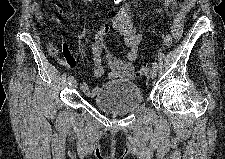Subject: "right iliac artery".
I'll list each match as a JSON object with an SVG mask.
<instances>
[{
    "mask_svg": "<svg viewBox=\"0 0 225 159\" xmlns=\"http://www.w3.org/2000/svg\"><path fill=\"white\" fill-rule=\"evenodd\" d=\"M73 79V76L68 77V84H70L71 80Z\"/></svg>",
    "mask_w": 225,
    "mask_h": 159,
    "instance_id": "obj_1",
    "label": "right iliac artery"
}]
</instances>
